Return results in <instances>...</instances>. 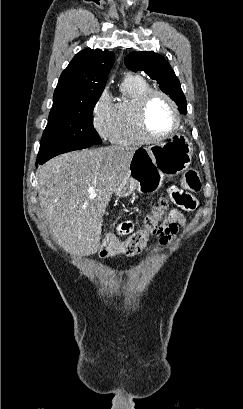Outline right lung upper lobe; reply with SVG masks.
I'll use <instances>...</instances> for the list:
<instances>
[{"instance_id": "obj_1", "label": "right lung upper lobe", "mask_w": 243, "mask_h": 409, "mask_svg": "<svg viewBox=\"0 0 243 409\" xmlns=\"http://www.w3.org/2000/svg\"><path fill=\"white\" fill-rule=\"evenodd\" d=\"M114 61L110 51L88 48L77 53L60 76L53 103L98 101Z\"/></svg>"}]
</instances>
